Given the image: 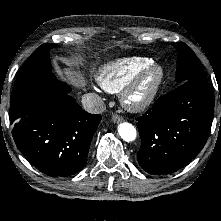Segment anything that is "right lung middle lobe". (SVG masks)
Here are the masks:
<instances>
[{"label": "right lung middle lobe", "instance_id": "1", "mask_svg": "<svg viewBox=\"0 0 221 221\" xmlns=\"http://www.w3.org/2000/svg\"><path fill=\"white\" fill-rule=\"evenodd\" d=\"M57 46L43 44L32 53L21 68L12 94L39 81L56 78L52 73L49 50Z\"/></svg>", "mask_w": 221, "mask_h": 221}]
</instances>
